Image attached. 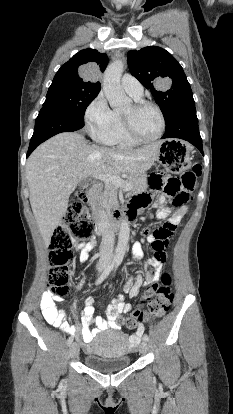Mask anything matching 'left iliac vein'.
Here are the masks:
<instances>
[{"mask_svg": "<svg viewBox=\"0 0 233 414\" xmlns=\"http://www.w3.org/2000/svg\"><path fill=\"white\" fill-rule=\"evenodd\" d=\"M139 351L142 353V354H146L147 353V351H148V345H147V342L146 341H142L141 342V344H140V346H139Z\"/></svg>", "mask_w": 233, "mask_h": 414, "instance_id": "left-iliac-vein-1", "label": "left iliac vein"}]
</instances>
